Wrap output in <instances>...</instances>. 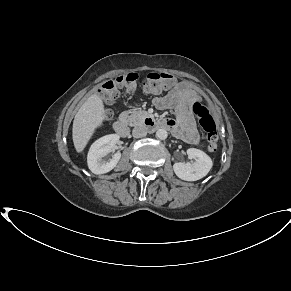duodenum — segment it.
I'll return each instance as SVG.
<instances>
[{
  "label": "duodenum",
  "instance_id": "duodenum-1",
  "mask_svg": "<svg viewBox=\"0 0 291 291\" xmlns=\"http://www.w3.org/2000/svg\"><path fill=\"white\" fill-rule=\"evenodd\" d=\"M145 126L150 129H166L167 125L164 120L154 119L152 117H148L145 119L144 122ZM114 130L120 135L127 134V127H126V119L124 117L119 118L113 124Z\"/></svg>",
  "mask_w": 291,
  "mask_h": 291
}]
</instances>
